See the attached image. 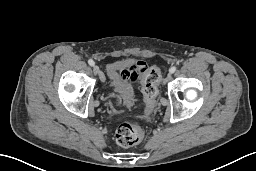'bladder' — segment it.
I'll list each match as a JSON object with an SVG mask.
<instances>
[{"label":"bladder","instance_id":"31cf9c89","mask_svg":"<svg viewBox=\"0 0 256 171\" xmlns=\"http://www.w3.org/2000/svg\"><path fill=\"white\" fill-rule=\"evenodd\" d=\"M108 77L111 92L127 107H135L137 95L133 81L121 75L115 67L109 68Z\"/></svg>","mask_w":256,"mask_h":171}]
</instances>
